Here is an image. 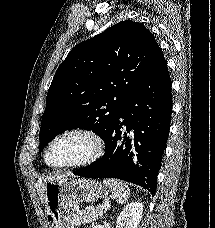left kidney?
Here are the masks:
<instances>
[{"label": "left kidney", "instance_id": "1", "mask_svg": "<svg viewBox=\"0 0 215 228\" xmlns=\"http://www.w3.org/2000/svg\"><path fill=\"white\" fill-rule=\"evenodd\" d=\"M144 206L140 202H131L122 210L117 218L116 228H138L143 214Z\"/></svg>", "mask_w": 215, "mask_h": 228}]
</instances>
